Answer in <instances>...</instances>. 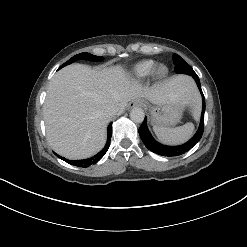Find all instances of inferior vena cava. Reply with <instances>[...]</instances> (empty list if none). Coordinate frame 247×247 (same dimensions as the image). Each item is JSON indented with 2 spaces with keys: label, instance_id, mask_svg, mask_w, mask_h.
I'll return each instance as SVG.
<instances>
[{
  "label": "inferior vena cava",
  "instance_id": "inferior-vena-cava-1",
  "mask_svg": "<svg viewBox=\"0 0 247 247\" xmlns=\"http://www.w3.org/2000/svg\"><path fill=\"white\" fill-rule=\"evenodd\" d=\"M118 112V110L114 107H109L105 110L104 114L106 117H112Z\"/></svg>",
  "mask_w": 247,
  "mask_h": 247
}]
</instances>
